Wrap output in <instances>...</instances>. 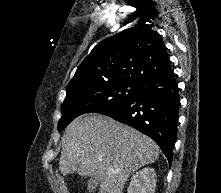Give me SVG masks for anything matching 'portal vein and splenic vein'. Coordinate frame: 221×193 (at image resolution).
I'll use <instances>...</instances> for the list:
<instances>
[{
  "label": "portal vein and splenic vein",
  "instance_id": "1",
  "mask_svg": "<svg viewBox=\"0 0 221 193\" xmlns=\"http://www.w3.org/2000/svg\"><path fill=\"white\" fill-rule=\"evenodd\" d=\"M109 171H114V169L113 168H109L108 169ZM117 172L119 171V169L118 170H116Z\"/></svg>",
  "mask_w": 221,
  "mask_h": 193
}]
</instances>
